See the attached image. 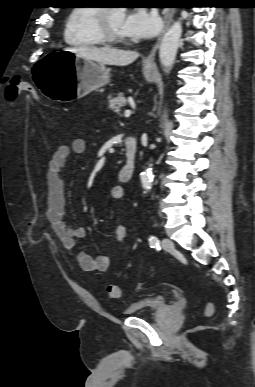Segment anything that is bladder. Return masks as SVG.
I'll return each instance as SVG.
<instances>
[{"label":"bladder","mask_w":255,"mask_h":387,"mask_svg":"<svg viewBox=\"0 0 255 387\" xmlns=\"http://www.w3.org/2000/svg\"><path fill=\"white\" fill-rule=\"evenodd\" d=\"M169 306L164 295H155L130 304L123 313L129 317H143L160 313Z\"/></svg>","instance_id":"1"}]
</instances>
